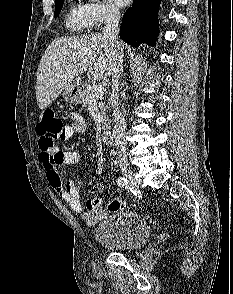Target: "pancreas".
<instances>
[{
  "label": "pancreas",
  "instance_id": "obj_1",
  "mask_svg": "<svg viewBox=\"0 0 233 294\" xmlns=\"http://www.w3.org/2000/svg\"><path fill=\"white\" fill-rule=\"evenodd\" d=\"M96 100L98 101V107L101 110L102 114L104 115V103H103V95L95 96L93 94V88L89 85H87L83 89V97H82V103L83 104H88L91 100ZM102 128H105V122L102 123Z\"/></svg>",
  "mask_w": 233,
  "mask_h": 294
}]
</instances>
